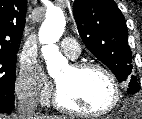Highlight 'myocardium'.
I'll use <instances>...</instances> for the list:
<instances>
[{
  "instance_id": "f54148a6",
  "label": "myocardium",
  "mask_w": 142,
  "mask_h": 119,
  "mask_svg": "<svg viewBox=\"0 0 142 119\" xmlns=\"http://www.w3.org/2000/svg\"><path fill=\"white\" fill-rule=\"evenodd\" d=\"M70 67L73 69V71L77 73L84 72L87 70H98L101 73H103L111 84L112 98L110 103L102 110L95 111V112L81 111V110L69 107L62 102L61 96H60V90L57 85L55 93H54V98H53V104L55 105L57 109L65 113L76 115V116L102 117L112 112L118 106L120 102V98H121L120 86L114 74L106 66L97 62L81 61V62H75L71 64Z\"/></svg>"
}]
</instances>
